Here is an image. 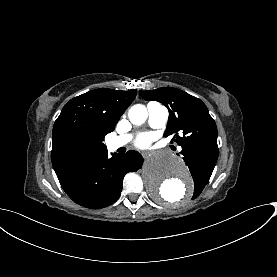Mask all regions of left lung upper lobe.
Wrapping results in <instances>:
<instances>
[{
	"label": "left lung upper lobe",
	"mask_w": 277,
	"mask_h": 277,
	"mask_svg": "<svg viewBox=\"0 0 277 277\" xmlns=\"http://www.w3.org/2000/svg\"><path fill=\"white\" fill-rule=\"evenodd\" d=\"M147 101L156 100L169 110L165 136L175 134L178 145L194 146L203 142H217V127L206 105L198 98L176 88L164 87L156 90L139 91ZM212 173L193 176L196 198L203 190Z\"/></svg>",
	"instance_id": "5c2ea615"
}]
</instances>
